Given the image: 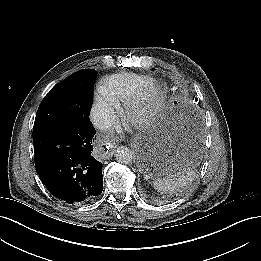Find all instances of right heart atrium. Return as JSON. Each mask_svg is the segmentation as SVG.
<instances>
[{"label": "right heart atrium", "mask_w": 261, "mask_h": 261, "mask_svg": "<svg viewBox=\"0 0 261 261\" xmlns=\"http://www.w3.org/2000/svg\"><path fill=\"white\" fill-rule=\"evenodd\" d=\"M116 103L109 96L104 88L99 90V96L97 98L96 111L97 114L104 118L111 120L114 116Z\"/></svg>", "instance_id": "obj_1"}]
</instances>
